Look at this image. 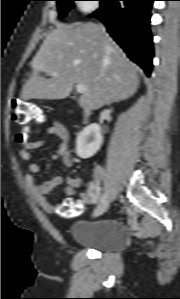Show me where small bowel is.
Segmentation results:
<instances>
[{
  "label": "small bowel",
  "instance_id": "obj_1",
  "mask_svg": "<svg viewBox=\"0 0 180 299\" xmlns=\"http://www.w3.org/2000/svg\"><path fill=\"white\" fill-rule=\"evenodd\" d=\"M45 133L47 135H55L59 139V147L55 153L51 155L52 159L60 160L64 168L72 165V155L70 152L69 135L65 126L57 121H50L45 124ZM45 145L44 139L30 141L24 148L19 150V155L24 160H31L32 156L29 150L40 149ZM40 167L37 163L31 162L28 165V173L25 175V183L28 191L39 206L48 213L56 211V207L51 204L46 196L62 183V176L59 174L51 176L42 184H37L34 175L37 174ZM102 174V168L95 166L92 171V180L87 189L80 194V198L84 203L94 202L99 194V183ZM81 185V179L78 177H68L67 186L63 189V194L70 198L75 194V190ZM72 201V200H70Z\"/></svg>",
  "mask_w": 180,
  "mask_h": 299
}]
</instances>
